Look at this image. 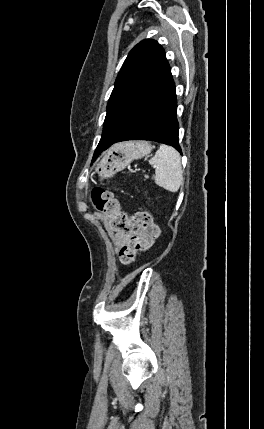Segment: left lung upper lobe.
Here are the masks:
<instances>
[{
  "label": "left lung upper lobe",
  "instance_id": "obj_1",
  "mask_svg": "<svg viewBox=\"0 0 264 429\" xmlns=\"http://www.w3.org/2000/svg\"><path fill=\"white\" fill-rule=\"evenodd\" d=\"M168 65L164 49L152 39L141 41L130 51L108 101L96 150L109 147L121 136L134 111L161 80Z\"/></svg>",
  "mask_w": 264,
  "mask_h": 429
}]
</instances>
